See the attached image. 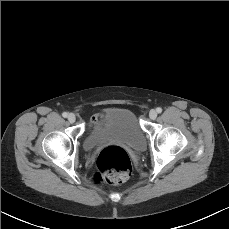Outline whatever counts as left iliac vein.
Here are the masks:
<instances>
[{
    "instance_id": "1",
    "label": "left iliac vein",
    "mask_w": 229,
    "mask_h": 229,
    "mask_svg": "<svg viewBox=\"0 0 229 229\" xmlns=\"http://www.w3.org/2000/svg\"><path fill=\"white\" fill-rule=\"evenodd\" d=\"M150 119L154 120L157 117V112L155 110H150L149 112Z\"/></svg>"
}]
</instances>
